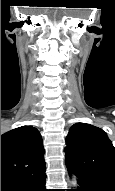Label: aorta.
<instances>
[{"mask_svg":"<svg viewBox=\"0 0 115 191\" xmlns=\"http://www.w3.org/2000/svg\"><path fill=\"white\" fill-rule=\"evenodd\" d=\"M71 184H72V186H74V187L78 185V184H77V179H76V177H73V178H72Z\"/></svg>","mask_w":115,"mask_h":191,"instance_id":"1","label":"aorta"}]
</instances>
